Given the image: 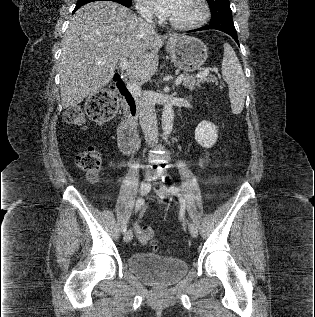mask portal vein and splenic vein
Segmentation results:
<instances>
[{
  "mask_svg": "<svg viewBox=\"0 0 315 317\" xmlns=\"http://www.w3.org/2000/svg\"><path fill=\"white\" fill-rule=\"evenodd\" d=\"M129 66V62L126 58H122L121 61H120V68L121 70H125L127 69ZM209 74V70L208 69H205L203 71H200L198 74H197V77L199 78H202V77H205ZM184 80V75H179L176 79V82H175V85H179L182 81ZM127 88L128 90L136 97L140 96V93H141V89L138 85H136L135 83H131V82H128L127 83Z\"/></svg>",
  "mask_w": 315,
  "mask_h": 317,
  "instance_id": "obj_1",
  "label": "portal vein and splenic vein"
}]
</instances>
